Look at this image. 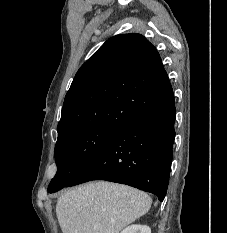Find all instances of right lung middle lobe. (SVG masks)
Returning <instances> with one entry per match:
<instances>
[{"label": "right lung middle lobe", "instance_id": "obj_1", "mask_svg": "<svg viewBox=\"0 0 227 233\" xmlns=\"http://www.w3.org/2000/svg\"><path fill=\"white\" fill-rule=\"evenodd\" d=\"M116 131L112 128L92 126L59 134L55 146L57 173L49 184L48 192H57L70 183Z\"/></svg>", "mask_w": 227, "mask_h": 233}]
</instances>
